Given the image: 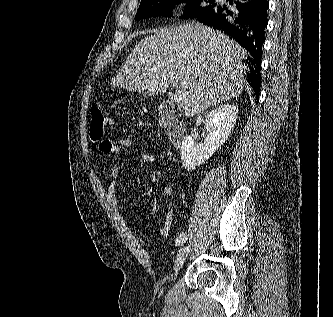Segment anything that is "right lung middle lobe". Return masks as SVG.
<instances>
[{
    "label": "right lung middle lobe",
    "mask_w": 333,
    "mask_h": 317,
    "mask_svg": "<svg viewBox=\"0 0 333 317\" xmlns=\"http://www.w3.org/2000/svg\"><path fill=\"white\" fill-rule=\"evenodd\" d=\"M184 2L187 4L182 17H195L212 5H206V0H141L135 19L139 20L151 16H171L170 10L176 4Z\"/></svg>",
    "instance_id": "obj_1"
}]
</instances>
